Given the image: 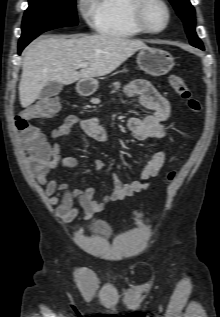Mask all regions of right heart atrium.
I'll use <instances>...</instances> for the list:
<instances>
[{"label":"right heart atrium","mask_w":220,"mask_h":317,"mask_svg":"<svg viewBox=\"0 0 220 317\" xmlns=\"http://www.w3.org/2000/svg\"><path fill=\"white\" fill-rule=\"evenodd\" d=\"M76 9L86 24L95 26V0H77Z\"/></svg>","instance_id":"1"}]
</instances>
